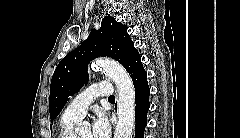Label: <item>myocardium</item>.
<instances>
[{"mask_svg":"<svg viewBox=\"0 0 240 138\" xmlns=\"http://www.w3.org/2000/svg\"><path fill=\"white\" fill-rule=\"evenodd\" d=\"M74 138H78V135H77V134H75V135H74Z\"/></svg>","mask_w":240,"mask_h":138,"instance_id":"myocardium-1","label":"myocardium"}]
</instances>
